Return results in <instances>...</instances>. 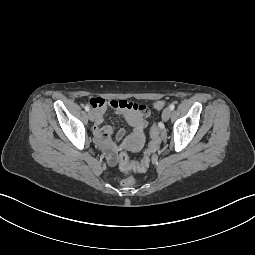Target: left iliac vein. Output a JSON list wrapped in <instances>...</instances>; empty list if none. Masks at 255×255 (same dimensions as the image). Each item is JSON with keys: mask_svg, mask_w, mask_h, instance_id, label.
Here are the masks:
<instances>
[{"mask_svg": "<svg viewBox=\"0 0 255 255\" xmlns=\"http://www.w3.org/2000/svg\"><path fill=\"white\" fill-rule=\"evenodd\" d=\"M170 116H171L170 108H165L162 112V120L166 122L169 120Z\"/></svg>", "mask_w": 255, "mask_h": 255, "instance_id": "4c4485c4", "label": "left iliac vein"}]
</instances>
